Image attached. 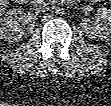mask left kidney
<instances>
[{
	"label": "left kidney",
	"mask_w": 111,
	"mask_h": 106,
	"mask_svg": "<svg viewBox=\"0 0 111 106\" xmlns=\"http://www.w3.org/2000/svg\"><path fill=\"white\" fill-rule=\"evenodd\" d=\"M96 16L100 23L92 24L89 20L82 23L86 35L92 40L104 41L111 38V10L100 8L97 10Z\"/></svg>",
	"instance_id": "left-kidney-1"
}]
</instances>
